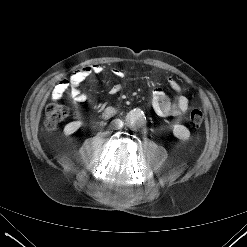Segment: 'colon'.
Returning a JSON list of instances; mask_svg holds the SVG:
<instances>
[{"mask_svg":"<svg viewBox=\"0 0 247 247\" xmlns=\"http://www.w3.org/2000/svg\"><path fill=\"white\" fill-rule=\"evenodd\" d=\"M68 115V109L56 102H49L45 107L44 124L49 131L55 130ZM189 122L193 128H200L204 122V113L193 109L189 113Z\"/></svg>","mask_w":247,"mask_h":247,"instance_id":"colon-1","label":"colon"}]
</instances>
